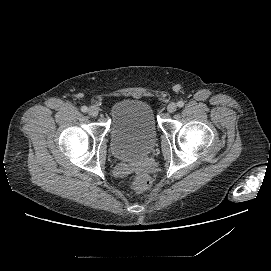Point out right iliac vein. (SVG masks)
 Masks as SVG:
<instances>
[{
  "mask_svg": "<svg viewBox=\"0 0 271 271\" xmlns=\"http://www.w3.org/2000/svg\"><path fill=\"white\" fill-rule=\"evenodd\" d=\"M88 114L91 116V117H96L98 115V109L94 106H91L89 107L88 109Z\"/></svg>",
  "mask_w": 271,
  "mask_h": 271,
  "instance_id": "right-iliac-vein-1",
  "label": "right iliac vein"
}]
</instances>
